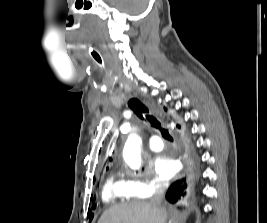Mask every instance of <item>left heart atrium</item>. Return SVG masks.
<instances>
[{"label": "left heart atrium", "instance_id": "1", "mask_svg": "<svg viewBox=\"0 0 267 223\" xmlns=\"http://www.w3.org/2000/svg\"><path fill=\"white\" fill-rule=\"evenodd\" d=\"M153 167L156 175L161 180L170 179L178 170L176 160L167 155L158 156L153 162Z\"/></svg>", "mask_w": 267, "mask_h": 223}]
</instances>
